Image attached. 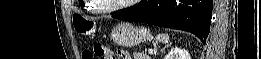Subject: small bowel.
I'll return each mask as SVG.
<instances>
[{
  "mask_svg": "<svg viewBox=\"0 0 261 59\" xmlns=\"http://www.w3.org/2000/svg\"><path fill=\"white\" fill-rule=\"evenodd\" d=\"M120 53V56L118 58H122V59H130L129 55L127 52L121 50V51H118Z\"/></svg>",
  "mask_w": 261,
  "mask_h": 59,
  "instance_id": "obj_1",
  "label": "small bowel"
}]
</instances>
